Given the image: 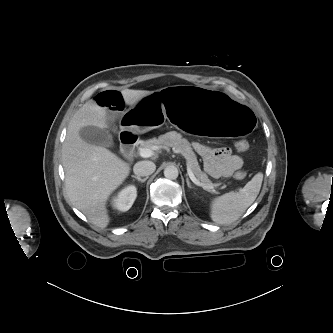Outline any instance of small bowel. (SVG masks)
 Listing matches in <instances>:
<instances>
[{
    "instance_id": "obj_1",
    "label": "small bowel",
    "mask_w": 333,
    "mask_h": 333,
    "mask_svg": "<svg viewBox=\"0 0 333 333\" xmlns=\"http://www.w3.org/2000/svg\"><path fill=\"white\" fill-rule=\"evenodd\" d=\"M94 104L108 110L110 118L116 117L125 109V99L116 90L99 93L94 98ZM193 146L202 157L206 172L214 178L228 177L242 166V158L232 154L228 148H214L198 142H195Z\"/></svg>"
}]
</instances>
